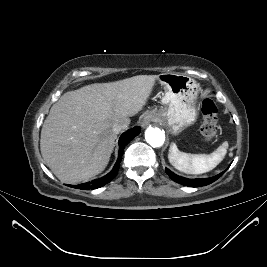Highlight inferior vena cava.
Instances as JSON below:
<instances>
[{"mask_svg": "<svg viewBox=\"0 0 267 267\" xmlns=\"http://www.w3.org/2000/svg\"><path fill=\"white\" fill-rule=\"evenodd\" d=\"M128 126H129V122H127V121H122V122L116 123L113 125V132L115 134H118L121 131L126 130L128 128Z\"/></svg>", "mask_w": 267, "mask_h": 267, "instance_id": "602c4592", "label": "inferior vena cava"}]
</instances>
